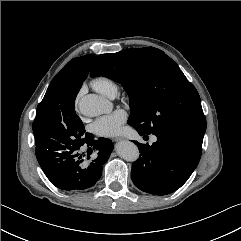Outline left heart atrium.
I'll return each mask as SVG.
<instances>
[{
    "mask_svg": "<svg viewBox=\"0 0 241 241\" xmlns=\"http://www.w3.org/2000/svg\"><path fill=\"white\" fill-rule=\"evenodd\" d=\"M126 120V113L123 110H116L113 113L98 118L91 126L92 131L100 136H114L120 133L121 126Z\"/></svg>",
    "mask_w": 241,
    "mask_h": 241,
    "instance_id": "obj_1",
    "label": "left heart atrium"
}]
</instances>
